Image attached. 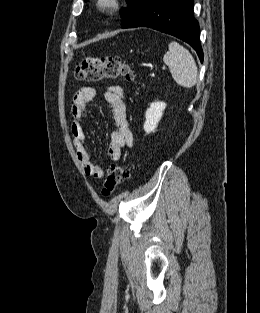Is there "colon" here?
Returning <instances> with one entry per match:
<instances>
[{
  "mask_svg": "<svg viewBox=\"0 0 260 313\" xmlns=\"http://www.w3.org/2000/svg\"><path fill=\"white\" fill-rule=\"evenodd\" d=\"M74 77L79 81L88 82L118 79L134 81L136 75L131 65L120 57H88L77 63ZM129 175L128 167L114 165L103 184L102 195L109 197L120 184L129 178Z\"/></svg>",
  "mask_w": 260,
  "mask_h": 313,
  "instance_id": "obj_1",
  "label": "colon"
}]
</instances>
